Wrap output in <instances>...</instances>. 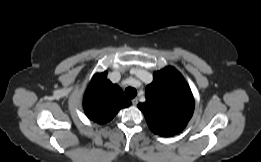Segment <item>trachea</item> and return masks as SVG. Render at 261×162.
Instances as JSON below:
<instances>
[{
  "instance_id": "obj_1",
  "label": "trachea",
  "mask_w": 261,
  "mask_h": 162,
  "mask_svg": "<svg viewBox=\"0 0 261 162\" xmlns=\"http://www.w3.org/2000/svg\"><path fill=\"white\" fill-rule=\"evenodd\" d=\"M125 95L127 96V98L129 99H133L134 97H136L137 95V90L135 88L132 87H128L125 90Z\"/></svg>"
}]
</instances>
